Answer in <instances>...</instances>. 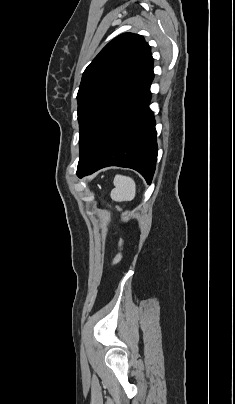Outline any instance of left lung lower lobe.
<instances>
[{
	"instance_id": "obj_1",
	"label": "left lung lower lobe",
	"mask_w": 235,
	"mask_h": 404,
	"mask_svg": "<svg viewBox=\"0 0 235 404\" xmlns=\"http://www.w3.org/2000/svg\"><path fill=\"white\" fill-rule=\"evenodd\" d=\"M154 74L104 122L79 159L77 175L107 166L138 171L151 183L157 160L155 120L148 105Z\"/></svg>"
}]
</instances>
